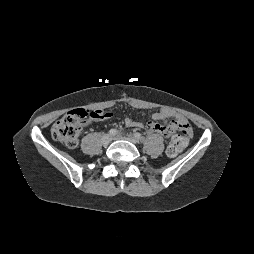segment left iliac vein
I'll use <instances>...</instances> for the list:
<instances>
[{
    "mask_svg": "<svg viewBox=\"0 0 254 254\" xmlns=\"http://www.w3.org/2000/svg\"><path fill=\"white\" fill-rule=\"evenodd\" d=\"M116 138H124V139L130 141L133 144L137 143V140H136V138L133 135H126L124 137H122L121 135H117Z\"/></svg>",
    "mask_w": 254,
    "mask_h": 254,
    "instance_id": "1",
    "label": "left iliac vein"
}]
</instances>
